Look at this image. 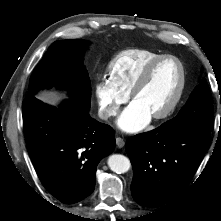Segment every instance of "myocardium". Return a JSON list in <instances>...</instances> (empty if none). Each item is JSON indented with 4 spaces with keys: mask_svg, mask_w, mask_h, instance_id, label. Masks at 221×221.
<instances>
[{
    "mask_svg": "<svg viewBox=\"0 0 221 221\" xmlns=\"http://www.w3.org/2000/svg\"><path fill=\"white\" fill-rule=\"evenodd\" d=\"M168 59L174 60L179 65L180 82H179L178 89L175 93V96L173 97L171 102L162 111L152 116V118L155 120L165 119L168 116H170L175 111V109L177 108V106L179 105L183 97L185 87H186V80H187L186 69H185L183 62L178 57L171 55V54H165V55H161L157 57L156 59L152 60L143 70L142 74L137 79L130 93L132 100H134L136 96L138 95V93L148 83L155 67L159 65L161 62L168 60Z\"/></svg>",
    "mask_w": 221,
    "mask_h": 221,
    "instance_id": "1",
    "label": "myocardium"
}]
</instances>
